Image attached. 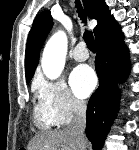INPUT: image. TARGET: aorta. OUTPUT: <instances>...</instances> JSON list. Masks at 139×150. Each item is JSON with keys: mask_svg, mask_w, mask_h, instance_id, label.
Returning a JSON list of instances; mask_svg holds the SVG:
<instances>
[{"mask_svg": "<svg viewBox=\"0 0 139 150\" xmlns=\"http://www.w3.org/2000/svg\"><path fill=\"white\" fill-rule=\"evenodd\" d=\"M68 40L64 31L56 32L47 42L42 56L43 73L49 79L58 78L65 66Z\"/></svg>", "mask_w": 139, "mask_h": 150, "instance_id": "762f6f07", "label": "aorta"}]
</instances>
